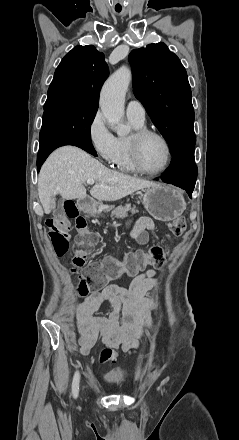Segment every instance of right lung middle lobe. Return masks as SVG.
<instances>
[{"mask_svg":"<svg viewBox=\"0 0 239 440\" xmlns=\"http://www.w3.org/2000/svg\"><path fill=\"white\" fill-rule=\"evenodd\" d=\"M97 110L57 102L44 105L40 145L63 135H81L91 139L90 128Z\"/></svg>","mask_w":239,"mask_h":440,"instance_id":"1","label":"right lung middle lobe"}]
</instances>
